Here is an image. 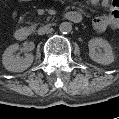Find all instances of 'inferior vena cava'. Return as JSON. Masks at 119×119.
Instances as JSON below:
<instances>
[{
	"instance_id": "inferior-vena-cava-1",
	"label": "inferior vena cava",
	"mask_w": 119,
	"mask_h": 119,
	"mask_svg": "<svg viewBox=\"0 0 119 119\" xmlns=\"http://www.w3.org/2000/svg\"><path fill=\"white\" fill-rule=\"evenodd\" d=\"M51 30H52L51 25L48 24V25L40 27L37 32H38L39 35H43L46 32L51 31Z\"/></svg>"
}]
</instances>
